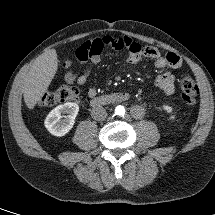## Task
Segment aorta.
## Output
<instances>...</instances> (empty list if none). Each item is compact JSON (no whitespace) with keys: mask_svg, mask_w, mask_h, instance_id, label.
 <instances>
[{"mask_svg":"<svg viewBox=\"0 0 215 215\" xmlns=\"http://www.w3.org/2000/svg\"><path fill=\"white\" fill-rule=\"evenodd\" d=\"M115 113L118 115V116H122L125 114V108L121 105L117 106L115 108Z\"/></svg>","mask_w":215,"mask_h":215,"instance_id":"aorta-1","label":"aorta"}]
</instances>
